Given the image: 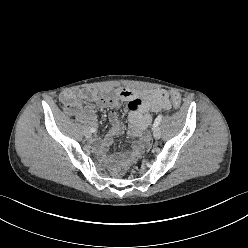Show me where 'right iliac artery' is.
<instances>
[{
	"label": "right iliac artery",
	"instance_id": "82829eb1",
	"mask_svg": "<svg viewBox=\"0 0 248 248\" xmlns=\"http://www.w3.org/2000/svg\"><path fill=\"white\" fill-rule=\"evenodd\" d=\"M94 131H95V130L92 128V129H91V132H94Z\"/></svg>",
	"mask_w": 248,
	"mask_h": 248
}]
</instances>
